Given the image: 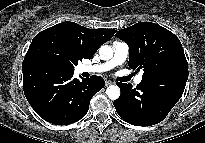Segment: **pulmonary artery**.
Returning <instances> with one entry per match:
<instances>
[{
	"label": "pulmonary artery",
	"instance_id": "obj_1",
	"mask_svg": "<svg viewBox=\"0 0 205 143\" xmlns=\"http://www.w3.org/2000/svg\"><path fill=\"white\" fill-rule=\"evenodd\" d=\"M113 57L104 63L96 65H82L79 67L81 73H102L111 70L112 68L121 65L125 62L129 54V46L122 41H115L112 45ZM142 81V75L139 74L135 77L134 83L140 84Z\"/></svg>",
	"mask_w": 205,
	"mask_h": 143
}]
</instances>
